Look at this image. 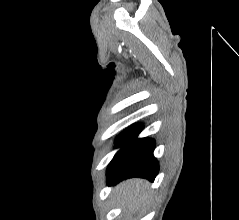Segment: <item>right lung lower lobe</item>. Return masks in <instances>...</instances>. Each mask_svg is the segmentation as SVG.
<instances>
[{"label": "right lung lower lobe", "instance_id": "1", "mask_svg": "<svg viewBox=\"0 0 239 220\" xmlns=\"http://www.w3.org/2000/svg\"><path fill=\"white\" fill-rule=\"evenodd\" d=\"M141 128V124L133 125L117 137L116 147L121 149L108 166V185L131 177L155 179L159 169L153 156L155 142L150 138H137Z\"/></svg>", "mask_w": 239, "mask_h": 220}]
</instances>
